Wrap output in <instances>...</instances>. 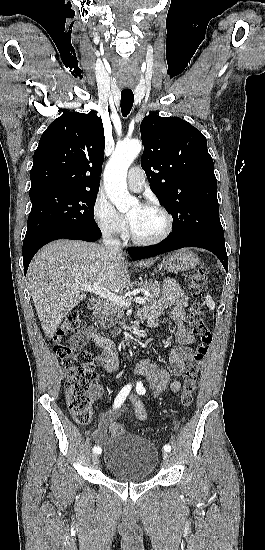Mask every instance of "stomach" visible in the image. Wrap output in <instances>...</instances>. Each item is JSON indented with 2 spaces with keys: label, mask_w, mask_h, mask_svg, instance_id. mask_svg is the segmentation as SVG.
I'll return each instance as SVG.
<instances>
[{
  "label": "stomach",
  "mask_w": 265,
  "mask_h": 550,
  "mask_svg": "<svg viewBox=\"0 0 265 550\" xmlns=\"http://www.w3.org/2000/svg\"><path fill=\"white\" fill-rule=\"evenodd\" d=\"M199 259L195 253L189 250H180L166 255L160 266L167 272H183L195 268Z\"/></svg>",
  "instance_id": "1"
}]
</instances>
